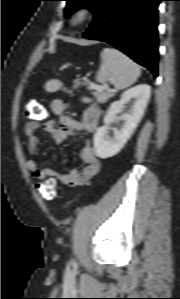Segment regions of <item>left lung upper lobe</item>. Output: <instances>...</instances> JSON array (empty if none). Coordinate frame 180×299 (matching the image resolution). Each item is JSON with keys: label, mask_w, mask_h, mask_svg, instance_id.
<instances>
[{"label": "left lung upper lobe", "mask_w": 180, "mask_h": 299, "mask_svg": "<svg viewBox=\"0 0 180 299\" xmlns=\"http://www.w3.org/2000/svg\"><path fill=\"white\" fill-rule=\"evenodd\" d=\"M65 1H67V5L65 8V15L69 17L73 12H75L76 10L82 7H87L94 12L96 7L102 0H65Z\"/></svg>", "instance_id": "obj_1"}]
</instances>
